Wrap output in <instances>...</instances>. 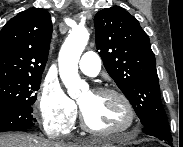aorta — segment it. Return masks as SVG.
<instances>
[{"instance_id":"1","label":"aorta","mask_w":183,"mask_h":147,"mask_svg":"<svg viewBox=\"0 0 183 147\" xmlns=\"http://www.w3.org/2000/svg\"><path fill=\"white\" fill-rule=\"evenodd\" d=\"M89 40L85 27H75L64 41L58 57L60 78L71 98L76 99L88 84L78 74L80 56Z\"/></svg>"}]
</instances>
